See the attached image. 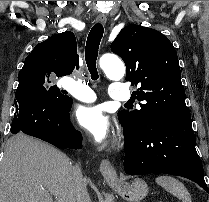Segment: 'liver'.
Listing matches in <instances>:
<instances>
[{
	"label": "liver",
	"instance_id": "6515ba94",
	"mask_svg": "<svg viewBox=\"0 0 209 202\" xmlns=\"http://www.w3.org/2000/svg\"><path fill=\"white\" fill-rule=\"evenodd\" d=\"M52 196L56 202H75L70 159L43 141L12 136L0 164V202H54Z\"/></svg>",
	"mask_w": 209,
	"mask_h": 202
}]
</instances>
